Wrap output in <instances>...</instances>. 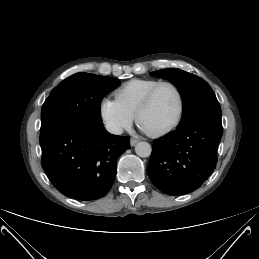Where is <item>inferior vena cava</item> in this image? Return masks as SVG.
<instances>
[{"mask_svg": "<svg viewBox=\"0 0 259 259\" xmlns=\"http://www.w3.org/2000/svg\"><path fill=\"white\" fill-rule=\"evenodd\" d=\"M106 129L111 134L120 135L123 133V128L117 123H107Z\"/></svg>", "mask_w": 259, "mask_h": 259, "instance_id": "obj_1", "label": "inferior vena cava"}]
</instances>
